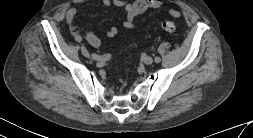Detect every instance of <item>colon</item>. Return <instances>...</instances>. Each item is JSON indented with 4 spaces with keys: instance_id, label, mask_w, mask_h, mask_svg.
<instances>
[{
    "instance_id": "obj_1",
    "label": "colon",
    "mask_w": 253,
    "mask_h": 138,
    "mask_svg": "<svg viewBox=\"0 0 253 138\" xmlns=\"http://www.w3.org/2000/svg\"><path fill=\"white\" fill-rule=\"evenodd\" d=\"M161 28L168 34H175L177 32L175 23L169 20L162 21Z\"/></svg>"
}]
</instances>
